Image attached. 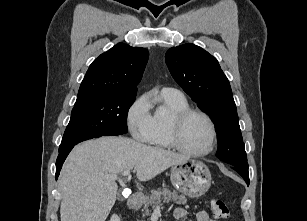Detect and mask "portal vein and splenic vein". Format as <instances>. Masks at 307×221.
<instances>
[{
  "label": "portal vein and splenic vein",
  "mask_w": 307,
  "mask_h": 221,
  "mask_svg": "<svg viewBox=\"0 0 307 221\" xmlns=\"http://www.w3.org/2000/svg\"><path fill=\"white\" fill-rule=\"evenodd\" d=\"M129 175H130V170L123 171V176H129ZM106 178L116 180L118 178V175L117 174L107 175Z\"/></svg>",
  "instance_id": "portal-vein-and-splenic-vein-1"
}]
</instances>
